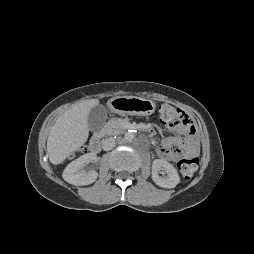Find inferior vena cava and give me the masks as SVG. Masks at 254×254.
Here are the masks:
<instances>
[{"label": "inferior vena cava", "mask_w": 254, "mask_h": 254, "mask_svg": "<svg viewBox=\"0 0 254 254\" xmlns=\"http://www.w3.org/2000/svg\"><path fill=\"white\" fill-rule=\"evenodd\" d=\"M115 147V139L113 138H107L105 140H102V148L105 151L112 150Z\"/></svg>", "instance_id": "602c4592"}]
</instances>
